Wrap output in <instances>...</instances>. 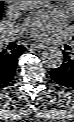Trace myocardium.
<instances>
[{
    "label": "myocardium",
    "mask_w": 74,
    "mask_h": 122,
    "mask_svg": "<svg viewBox=\"0 0 74 122\" xmlns=\"http://www.w3.org/2000/svg\"><path fill=\"white\" fill-rule=\"evenodd\" d=\"M66 4H69L70 3V1H64Z\"/></svg>",
    "instance_id": "myocardium-1"
}]
</instances>
